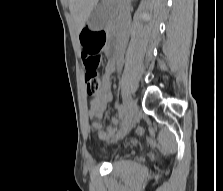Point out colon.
<instances>
[{
    "label": "colon",
    "instance_id": "colon-1",
    "mask_svg": "<svg viewBox=\"0 0 223 191\" xmlns=\"http://www.w3.org/2000/svg\"><path fill=\"white\" fill-rule=\"evenodd\" d=\"M82 60L86 70V90L89 95L95 94L101 85L99 68L101 65L100 51L106 35L102 31H84L81 36Z\"/></svg>",
    "mask_w": 223,
    "mask_h": 191
}]
</instances>
